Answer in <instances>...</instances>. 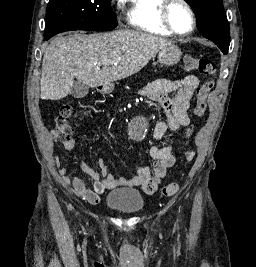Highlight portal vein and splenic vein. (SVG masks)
I'll use <instances>...</instances> for the list:
<instances>
[{
  "label": "portal vein and splenic vein",
  "instance_id": "portal-vein-and-splenic-vein-1",
  "mask_svg": "<svg viewBox=\"0 0 256 267\" xmlns=\"http://www.w3.org/2000/svg\"><path fill=\"white\" fill-rule=\"evenodd\" d=\"M99 64H111V62H108V60H102V62H99Z\"/></svg>",
  "mask_w": 256,
  "mask_h": 267
}]
</instances>
